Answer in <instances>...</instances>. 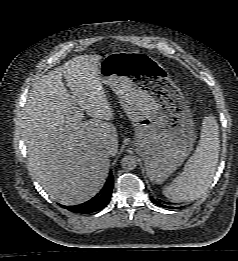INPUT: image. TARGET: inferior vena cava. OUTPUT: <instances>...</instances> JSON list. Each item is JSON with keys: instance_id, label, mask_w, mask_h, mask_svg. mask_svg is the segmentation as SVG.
<instances>
[{"instance_id": "inferior-vena-cava-1", "label": "inferior vena cava", "mask_w": 238, "mask_h": 261, "mask_svg": "<svg viewBox=\"0 0 238 261\" xmlns=\"http://www.w3.org/2000/svg\"><path fill=\"white\" fill-rule=\"evenodd\" d=\"M106 150L108 153H110V147L108 145H106Z\"/></svg>"}]
</instances>
